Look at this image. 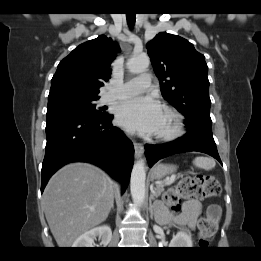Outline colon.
Here are the masks:
<instances>
[{
	"label": "colon",
	"mask_w": 261,
	"mask_h": 261,
	"mask_svg": "<svg viewBox=\"0 0 261 261\" xmlns=\"http://www.w3.org/2000/svg\"><path fill=\"white\" fill-rule=\"evenodd\" d=\"M220 192L221 186L214 175H196L183 178L177 185L169 188L164 193L163 200L171 211L178 212L184 200H204L216 197ZM216 232V217L209 211L199 219V245L208 246Z\"/></svg>",
	"instance_id": "colon-1"
}]
</instances>
